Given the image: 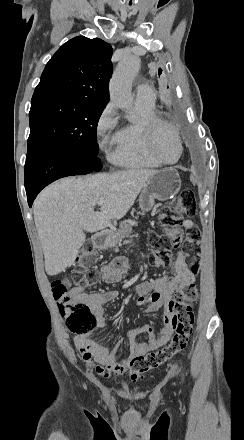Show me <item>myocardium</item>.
Listing matches in <instances>:
<instances>
[{
    "label": "myocardium",
    "mask_w": 244,
    "mask_h": 440,
    "mask_svg": "<svg viewBox=\"0 0 244 440\" xmlns=\"http://www.w3.org/2000/svg\"><path fill=\"white\" fill-rule=\"evenodd\" d=\"M149 127L146 125L144 128L147 130L149 128V130H151L152 132H148L147 133V140L150 141L147 145L150 147V151L152 154H155V158L161 163V164H165V165H172L175 164L179 161L181 155H182V151H183V146H182V137L180 132L174 127L171 126L172 124L169 122H161L160 120H156V122H150ZM167 129V130H171L173 131L177 138H178V150H177V156L174 160L172 161H168L165 160L159 153H158V149H155L156 147V136L155 133H159L161 130L163 129ZM155 132V133H154ZM155 136V137H154Z\"/></svg>",
    "instance_id": "obj_1"
}]
</instances>
